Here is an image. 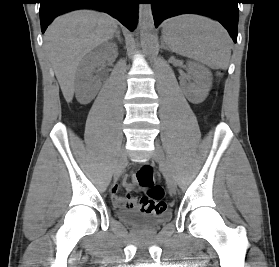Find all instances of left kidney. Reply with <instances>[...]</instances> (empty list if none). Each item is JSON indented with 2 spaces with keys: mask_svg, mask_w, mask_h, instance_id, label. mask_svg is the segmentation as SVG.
<instances>
[{
  "mask_svg": "<svg viewBox=\"0 0 279 267\" xmlns=\"http://www.w3.org/2000/svg\"><path fill=\"white\" fill-rule=\"evenodd\" d=\"M188 78L192 82L182 83L186 98L193 104L202 103L209 94L212 86V74L208 68L195 62H189Z\"/></svg>",
  "mask_w": 279,
  "mask_h": 267,
  "instance_id": "1",
  "label": "left kidney"
}]
</instances>
